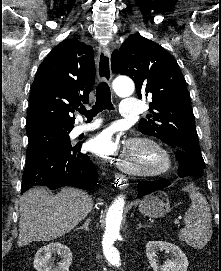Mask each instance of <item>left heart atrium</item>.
Returning a JSON list of instances; mask_svg holds the SVG:
<instances>
[{
    "mask_svg": "<svg viewBox=\"0 0 221 271\" xmlns=\"http://www.w3.org/2000/svg\"><path fill=\"white\" fill-rule=\"evenodd\" d=\"M122 146L118 142L116 132L106 129L93 136L89 142V148L93 153L104 155V157H115V152Z\"/></svg>",
    "mask_w": 221,
    "mask_h": 271,
    "instance_id": "obj_1",
    "label": "left heart atrium"
}]
</instances>
